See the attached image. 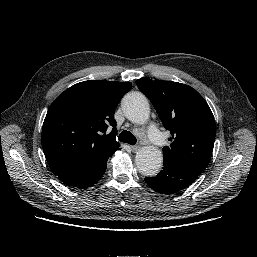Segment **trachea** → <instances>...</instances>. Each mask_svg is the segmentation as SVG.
<instances>
[{
    "label": "trachea",
    "mask_w": 257,
    "mask_h": 257,
    "mask_svg": "<svg viewBox=\"0 0 257 257\" xmlns=\"http://www.w3.org/2000/svg\"><path fill=\"white\" fill-rule=\"evenodd\" d=\"M119 141L128 143L130 145H135L137 142L136 137L129 131H122L118 136Z\"/></svg>",
    "instance_id": "1"
}]
</instances>
